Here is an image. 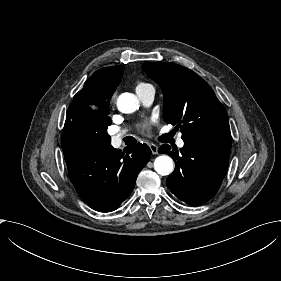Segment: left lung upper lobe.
Masks as SVG:
<instances>
[{
  "mask_svg": "<svg viewBox=\"0 0 281 281\" xmlns=\"http://www.w3.org/2000/svg\"><path fill=\"white\" fill-rule=\"evenodd\" d=\"M143 68L162 88L164 121L180 128L184 142L231 140L226 110L200 76L175 63L146 62Z\"/></svg>",
  "mask_w": 281,
  "mask_h": 281,
  "instance_id": "1",
  "label": "left lung upper lobe"
}]
</instances>
